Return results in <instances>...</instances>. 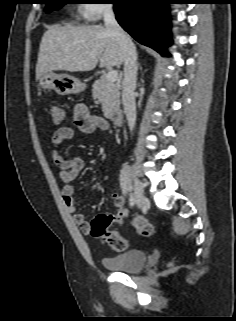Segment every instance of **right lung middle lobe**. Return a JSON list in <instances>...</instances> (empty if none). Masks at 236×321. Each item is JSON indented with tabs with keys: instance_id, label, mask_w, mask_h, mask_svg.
Segmentation results:
<instances>
[{
	"instance_id": "obj_1",
	"label": "right lung middle lobe",
	"mask_w": 236,
	"mask_h": 321,
	"mask_svg": "<svg viewBox=\"0 0 236 321\" xmlns=\"http://www.w3.org/2000/svg\"><path fill=\"white\" fill-rule=\"evenodd\" d=\"M46 6V12H50L51 10H58L61 8L65 3V0H48Z\"/></svg>"
}]
</instances>
